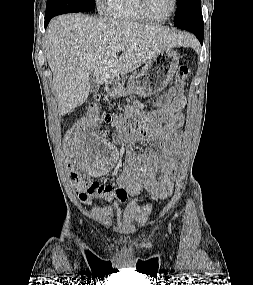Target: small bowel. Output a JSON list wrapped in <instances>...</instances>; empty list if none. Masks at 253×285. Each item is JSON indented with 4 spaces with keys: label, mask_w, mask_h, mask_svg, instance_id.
Returning <instances> with one entry per match:
<instances>
[{
    "label": "small bowel",
    "mask_w": 253,
    "mask_h": 285,
    "mask_svg": "<svg viewBox=\"0 0 253 285\" xmlns=\"http://www.w3.org/2000/svg\"><path fill=\"white\" fill-rule=\"evenodd\" d=\"M185 104V96L171 89L151 110L145 111V106L137 100L126 109L122 116L132 118L134 127L114 125L117 127L114 141L125 153L123 171L117 183L132 195L147 192L156 199L171 195L176 182L174 156L181 138ZM99 121L109 126L117 118L111 109H101ZM136 143H146L149 147L138 152L134 148Z\"/></svg>",
    "instance_id": "obj_1"
}]
</instances>
